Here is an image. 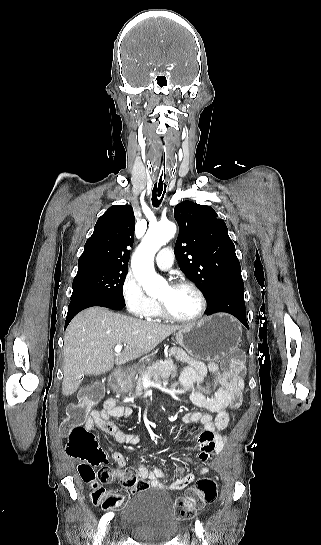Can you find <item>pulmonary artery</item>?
Listing matches in <instances>:
<instances>
[{"instance_id": "1", "label": "pulmonary artery", "mask_w": 321, "mask_h": 545, "mask_svg": "<svg viewBox=\"0 0 321 545\" xmlns=\"http://www.w3.org/2000/svg\"><path fill=\"white\" fill-rule=\"evenodd\" d=\"M173 252L171 250H167L166 248L158 249L157 255H156V263L161 269H168L173 265Z\"/></svg>"}]
</instances>
